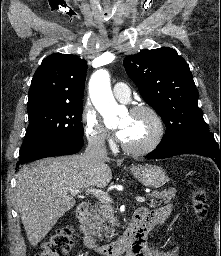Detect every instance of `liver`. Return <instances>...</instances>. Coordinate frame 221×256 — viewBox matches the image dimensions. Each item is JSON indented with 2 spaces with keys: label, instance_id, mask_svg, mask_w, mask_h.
Masks as SVG:
<instances>
[{
  "label": "liver",
  "instance_id": "6515ba94",
  "mask_svg": "<svg viewBox=\"0 0 221 256\" xmlns=\"http://www.w3.org/2000/svg\"><path fill=\"white\" fill-rule=\"evenodd\" d=\"M106 161L95 165L78 154L43 159L19 169L15 201L32 246L75 205L71 190L108 185L112 172Z\"/></svg>",
  "mask_w": 221,
  "mask_h": 256
}]
</instances>
